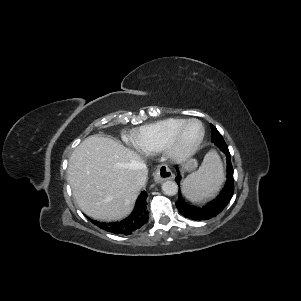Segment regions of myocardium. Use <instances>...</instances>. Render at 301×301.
<instances>
[{
  "mask_svg": "<svg viewBox=\"0 0 301 301\" xmlns=\"http://www.w3.org/2000/svg\"><path fill=\"white\" fill-rule=\"evenodd\" d=\"M191 123H198L201 126V130H202L201 135L193 146L187 149H183L180 147V139L184 130ZM204 138H205L204 124L200 120L195 118L188 119L170 136L162 151L164 152L165 156L169 160L174 162H181L190 158L198 151Z\"/></svg>",
  "mask_w": 301,
  "mask_h": 301,
  "instance_id": "f54148a6",
  "label": "myocardium"
}]
</instances>
